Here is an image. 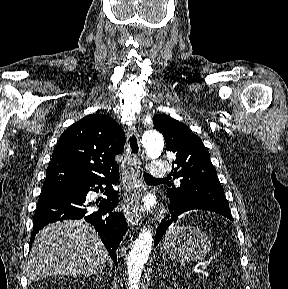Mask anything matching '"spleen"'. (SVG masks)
I'll use <instances>...</instances> for the list:
<instances>
[{"label":"spleen","mask_w":288,"mask_h":289,"mask_svg":"<svg viewBox=\"0 0 288 289\" xmlns=\"http://www.w3.org/2000/svg\"><path fill=\"white\" fill-rule=\"evenodd\" d=\"M173 230V228L168 232V234Z\"/></svg>","instance_id":"obj_1"}]
</instances>
